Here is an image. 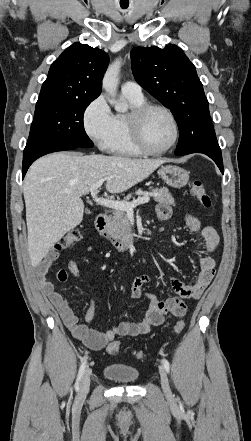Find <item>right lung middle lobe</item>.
<instances>
[{"instance_id":"1","label":"right lung middle lobe","mask_w":251,"mask_h":441,"mask_svg":"<svg viewBox=\"0 0 251 441\" xmlns=\"http://www.w3.org/2000/svg\"><path fill=\"white\" fill-rule=\"evenodd\" d=\"M94 99L37 101L29 139L93 147V142L84 130L83 115Z\"/></svg>"}]
</instances>
